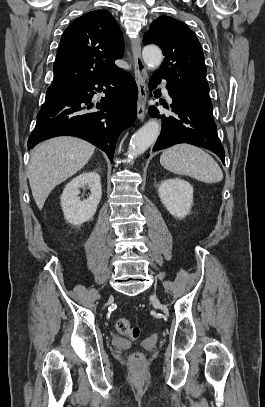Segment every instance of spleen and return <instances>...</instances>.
<instances>
[{"instance_id": "obj_1", "label": "spleen", "mask_w": 265, "mask_h": 407, "mask_svg": "<svg viewBox=\"0 0 265 407\" xmlns=\"http://www.w3.org/2000/svg\"><path fill=\"white\" fill-rule=\"evenodd\" d=\"M160 163L170 172L188 175L205 183H216L223 179L222 170L213 157L190 144H178L166 149Z\"/></svg>"}]
</instances>
